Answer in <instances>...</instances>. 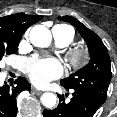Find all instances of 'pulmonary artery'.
Returning a JSON list of instances; mask_svg holds the SVG:
<instances>
[{
    "label": "pulmonary artery",
    "instance_id": "pulmonary-artery-1",
    "mask_svg": "<svg viewBox=\"0 0 117 117\" xmlns=\"http://www.w3.org/2000/svg\"><path fill=\"white\" fill-rule=\"evenodd\" d=\"M56 33H57L56 31H53L54 38H55L56 42L58 43V45L59 46H66V45H68V42L67 41L56 39V36H55Z\"/></svg>",
    "mask_w": 117,
    "mask_h": 117
}]
</instances>
